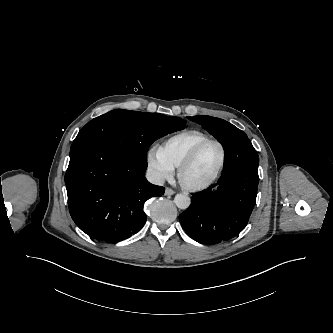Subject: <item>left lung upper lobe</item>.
<instances>
[{
  "label": "left lung upper lobe",
  "instance_id": "5c2ea615",
  "mask_svg": "<svg viewBox=\"0 0 333 333\" xmlns=\"http://www.w3.org/2000/svg\"><path fill=\"white\" fill-rule=\"evenodd\" d=\"M188 119L197 122L212 134L227 149L233 142L247 135L229 122L210 116H193Z\"/></svg>",
  "mask_w": 333,
  "mask_h": 333
}]
</instances>
